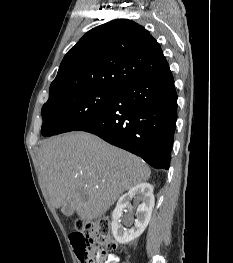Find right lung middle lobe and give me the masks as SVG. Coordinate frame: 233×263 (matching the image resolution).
<instances>
[{"label":"right lung middle lobe","instance_id":"obj_1","mask_svg":"<svg viewBox=\"0 0 233 263\" xmlns=\"http://www.w3.org/2000/svg\"><path fill=\"white\" fill-rule=\"evenodd\" d=\"M117 90L77 89L49 97L42 107L41 133L51 136L74 130L101 114L112 102Z\"/></svg>","mask_w":233,"mask_h":263}]
</instances>
